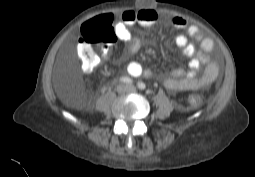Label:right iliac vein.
Returning a JSON list of instances; mask_svg holds the SVG:
<instances>
[{"label":"right iliac vein","instance_id":"right-iliac-vein-1","mask_svg":"<svg viewBox=\"0 0 255 177\" xmlns=\"http://www.w3.org/2000/svg\"><path fill=\"white\" fill-rule=\"evenodd\" d=\"M126 91H127V87H126L125 85H119V86L117 87V92H118L119 94H124Z\"/></svg>","mask_w":255,"mask_h":177}]
</instances>
